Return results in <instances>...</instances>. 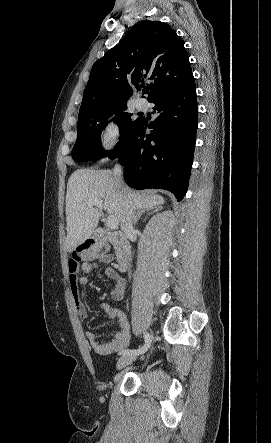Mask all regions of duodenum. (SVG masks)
Returning a JSON list of instances; mask_svg holds the SVG:
<instances>
[{"instance_id": "duodenum-1", "label": "duodenum", "mask_w": 271, "mask_h": 443, "mask_svg": "<svg viewBox=\"0 0 271 443\" xmlns=\"http://www.w3.org/2000/svg\"><path fill=\"white\" fill-rule=\"evenodd\" d=\"M95 238L112 243L117 249V265L122 271L127 270L133 261V248L126 236L121 232L108 231L98 228L94 233Z\"/></svg>"}]
</instances>
